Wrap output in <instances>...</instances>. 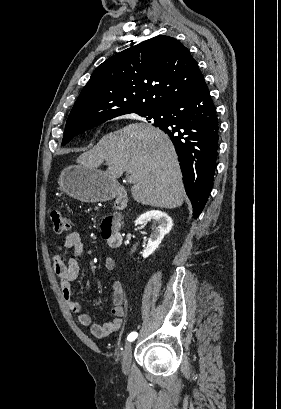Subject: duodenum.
<instances>
[{"instance_id": "obj_1", "label": "duodenum", "mask_w": 281, "mask_h": 409, "mask_svg": "<svg viewBox=\"0 0 281 409\" xmlns=\"http://www.w3.org/2000/svg\"><path fill=\"white\" fill-rule=\"evenodd\" d=\"M127 198L126 186H115L113 200L116 203V208L122 210L126 204ZM101 229L103 236L107 239L108 244L113 249H118L122 246L123 235L118 224V214H108L101 221Z\"/></svg>"}]
</instances>
